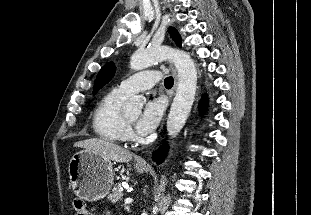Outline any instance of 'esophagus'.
<instances>
[{
    "mask_svg": "<svg viewBox=\"0 0 311 215\" xmlns=\"http://www.w3.org/2000/svg\"><path fill=\"white\" fill-rule=\"evenodd\" d=\"M171 68H172V71H173V74H174V89L177 85V73L173 67V65H171ZM137 164L140 165V166H147V161L144 159V158H139L137 159Z\"/></svg>",
    "mask_w": 311,
    "mask_h": 215,
    "instance_id": "esophagus-1",
    "label": "esophagus"
}]
</instances>
